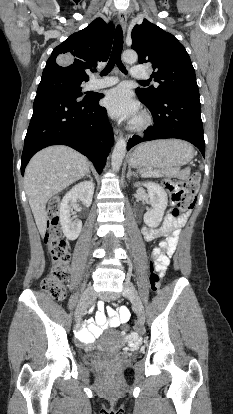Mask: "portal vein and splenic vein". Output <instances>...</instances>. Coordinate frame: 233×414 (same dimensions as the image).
Segmentation results:
<instances>
[{"mask_svg":"<svg viewBox=\"0 0 233 414\" xmlns=\"http://www.w3.org/2000/svg\"><path fill=\"white\" fill-rule=\"evenodd\" d=\"M147 174H145V175H142L143 177H145Z\"/></svg>","mask_w":233,"mask_h":414,"instance_id":"1","label":"portal vein and splenic vein"}]
</instances>
